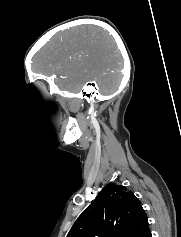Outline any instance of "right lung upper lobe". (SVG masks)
<instances>
[{"mask_svg":"<svg viewBox=\"0 0 181 237\" xmlns=\"http://www.w3.org/2000/svg\"><path fill=\"white\" fill-rule=\"evenodd\" d=\"M149 233L140 201L126 187L111 183L81 213L67 237H146Z\"/></svg>","mask_w":181,"mask_h":237,"instance_id":"right-lung-upper-lobe-1","label":"right lung upper lobe"}]
</instances>
